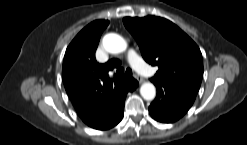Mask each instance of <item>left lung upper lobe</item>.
<instances>
[{
	"label": "left lung upper lobe",
	"instance_id": "left-lung-upper-lobe-1",
	"mask_svg": "<svg viewBox=\"0 0 247 145\" xmlns=\"http://www.w3.org/2000/svg\"><path fill=\"white\" fill-rule=\"evenodd\" d=\"M123 23L136 39L145 61L158 66L152 79L198 93L203 76L202 54L188 35L161 17H125Z\"/></svg>",
	"mask_w": 247,
	"mask_h": 145
}]
</instances>
